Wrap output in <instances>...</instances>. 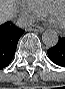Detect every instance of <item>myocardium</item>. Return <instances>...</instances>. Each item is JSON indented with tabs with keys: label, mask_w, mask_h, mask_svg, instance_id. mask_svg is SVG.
Wrapping results in <instances>:
<instances>
[{
	"label": "myocardium",
	"mask_w": 65,
	"mask_h": 89,
	"mask_svg": "<svg viewBox=\"0 0 65 89\" xmlns=\"http://www.w3.org/2000/svg\"><path fill=\"white\" fill-rule=\"evenodd\" d=\"M59 5H65L62 1H55L53 3H51L46 12H47V15L49 17V20L50 22L60 31H63L65 29V25L64 26H58L56 25L54 22H53V19H52V15H53V12L54 10L59 6Z\"/></svg>",
	"instance_id": "f54148a6"
}]
</instances>
